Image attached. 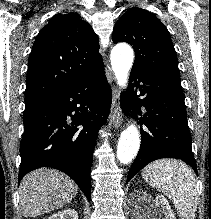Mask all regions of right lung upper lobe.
<instances>
[{"label": "right lung upper lobe", "mask_w": 211, "mask_h": 219, "mask_svg": "<svg viewBox=\"0 0 211 219\" xmlns=\"http://www.w3.org/2000/svg\"><path fill=\"white\" fill-rule=\"evenodd\" d=\"M104 67L99 40L76 13L56 14L37 35L28 62L25 106Z\"/></svg>", "instance_id": "cb5924a9"}]
</instances>
